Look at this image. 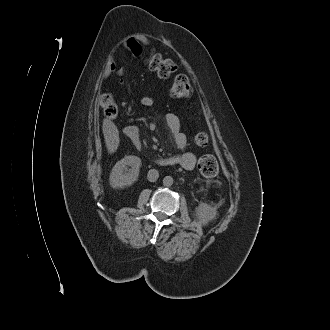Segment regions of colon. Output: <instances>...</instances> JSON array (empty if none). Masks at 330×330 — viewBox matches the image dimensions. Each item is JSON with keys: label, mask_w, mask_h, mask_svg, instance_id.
<instances>
[{"label": "colon", "mask_w": 330, "mask_h": 330, "mask_svg": "<svg viewBox=\"0 0 330 330\" xmlns=\"http://www.w3.org/2000/svg\"><path fill=\"white\" fill-rule=\"evenodd\" d=\"M147 67L156 72L160 78H169L175 71L176 65L173 61L165 59L157 52H151L146 58ZM171 95L179 99H187L192 95V87L187 76L179 75L171 86ZM100 104L103 112L108 118H115L118 114L117 105L109 93L100 96ZM209 138L206 133L200 132L195 136V142L199 146H206ZM198 168L207 177L215 176L218 172V163L213 156L206 155L199 159Z\"/></svg>", "instance_id": "obj_1"}]
</instances>
